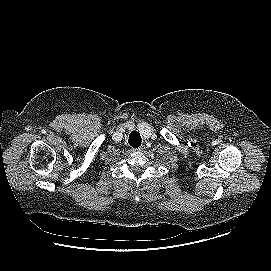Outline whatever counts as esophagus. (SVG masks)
<instances>
[{
    "label": "esophagus",
    "mask_w": 271,
    "mask_h": 271,
    "mask_svg": "<svg viewBox=\"0 0 271 271\" xmlns=\"http://www.w3.org/2000/svg\"><path fill=\"white\" fill-rule=\"evenodd\" d=\"M142 150H143V148H142V147H139V148L133 149L132 151L140 152V151H142Z\"/></svg>",
    "instance_id": "34e87169"
}]
</instances>
